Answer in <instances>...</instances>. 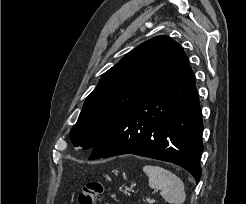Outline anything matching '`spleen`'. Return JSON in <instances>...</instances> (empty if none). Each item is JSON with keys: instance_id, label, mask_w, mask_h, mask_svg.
Instances as JSON below:
<instances>
[{"instance_id": "spleen-1", "label": "spleen", "mask_w": 246, "mask_h": 204, "mask_svg": "<svg viewBox=\"0 0 246 204\" xmlns=\"http://www.w3.org/2000/svg\"><path fill=\"white\" fill-rule=\"evenodd\" d=\"M143 171L149 178V186L159 189L166 202L182 204L185 201V185L173 172L153 165H145Z\"/></svg>"}]
</instances>
